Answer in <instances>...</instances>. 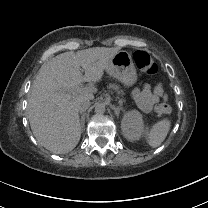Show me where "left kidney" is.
Returning <instances> with one entry per match:
<instances>
[{
  "instance_id": "1",
  "label": "left kidney",
  "mask_w": 208,
  "mask_h": 208,
  "mask_svg": "<svg viewBox=\"0 0 208 208\" xmlns=\"http://www.w3.org/2000/svg\"><path fill=\"white\" fill-rule=\"evenodd\" d=\"M121 128L128 140L138 139L143 132V122L140 113L131 111L123 116Z\"/></svg>"
}]
</instances>
